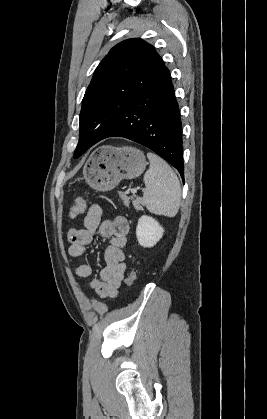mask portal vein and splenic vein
I'll return each instance as SVG.
<instances>
[{
	"label": "portal vein and splenic vein",
	"instance_id": "portal-vein-and-splenic-vein-1",
	"mask_svg": "<svg viewBox=\"0 0 267 419\" xmlns=\"http://www.w3.org/2000/svg\"><path fill=\"white\" fill-rule=\"evenodd\" d=\"M131 192H132L133 194H135V193L137 192V189L133 188V189L131 190Z\"/></svg>",
	"mask_w": 267,
	"mask_h": 419
}]
</instances>
